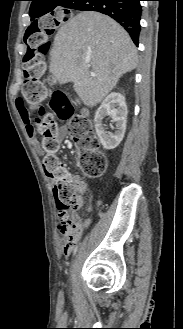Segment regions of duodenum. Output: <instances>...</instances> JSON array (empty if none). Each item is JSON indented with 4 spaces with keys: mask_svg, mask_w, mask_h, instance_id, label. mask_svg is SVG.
Wrapping results in <instances>:
<instances>
[{
    "mask_svg": "<svg viewBox=\"0 0 183 329\" xmlns=\"http://www.w3.org/2000/svg\"><path fill=\"white\" fill-rule=\"evenodd\" d=\"M83 114H84L85 116H87V115H88V113H87V111H86V110H84V111H83Z\"/></svg>",
    "mask_w": 183,
    "mask_h": 329,
    "instance_id": "duodenum-1",
    "label": "duodenum"
}]
</instances>
